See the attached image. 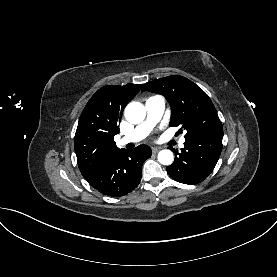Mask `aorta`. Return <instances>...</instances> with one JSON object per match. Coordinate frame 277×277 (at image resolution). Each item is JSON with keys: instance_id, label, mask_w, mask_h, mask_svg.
Listing matches in <instances>:
<instances>
[{"instance_id": "1", "label": "aorta", "mask_w": 277, "mask_h": 277, "mask_svg": "<svg viewBox=\"0 0 277 277\" xmlns=\"http://www.w3.org/2000/svg\"><path fill=\"white\" fill-rule=\"evenodd\" d=\"M146 116L144 106L139 102H132L125 108V118L133 124L141 123ZM172 151L165 149L158 153V161L163 165H171L173 162Z\"/></svg>"}]
</instances>
